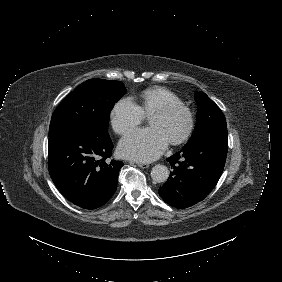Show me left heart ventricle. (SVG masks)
<instances>
[{
    "label": "left heart ventricle",
    "instance_id": "1",
    "mask_svg": "<svg viewBox=\"0 0 282 282\" xmlns=\"http://www.w3.org/2000/svg\"><path fill=\"white\" fill-rule=\"evenodd\" d=\"M167 103L165 102L161 106ZM149 124L160 128L168 140H171L182 132L185 118L181 113H174L168 116L152 115L149 117Z\"/></svg>",
    "mask_w": 282,
    "mask_h": 282
}]
</instances>
